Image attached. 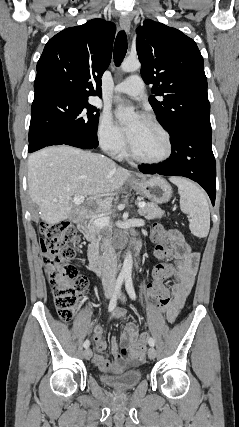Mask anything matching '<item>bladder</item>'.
<instances>
[{
    "label": "bladder",
    "mask_w": 239,
    "mask_h": 427,
    "mask_svg": "<svg viewBox=\"0 0 239 427\" xmlns=\"http://www.w3.org/2000/svg\"><path fill=\"white\" fill-rule=\"evenodd\" d=\"M142 379V372L130 369L115 375H101L100 380L106 386L116 390H129L135 387Z\"/></svg>",
    "instance_id": "obj_1"
}]
</instances>
